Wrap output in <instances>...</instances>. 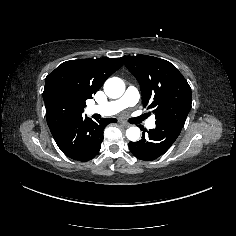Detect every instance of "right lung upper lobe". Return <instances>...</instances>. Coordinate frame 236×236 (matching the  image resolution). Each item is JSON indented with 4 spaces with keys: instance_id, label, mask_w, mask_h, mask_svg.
Wrapping results in <instances>:
<instances>
[{
    "instance_id": "1",
    "label": "right lung upper lobe",
    "mask_w": 236,
    "mask_h": 236,
    "mask_svg": "<svg viewBox=\"0 0 236 236\" xmlns=\"http://www.w3.org/2000/svg\"><path fill=\"white\" fill-rule=\"evenodd\" d=\"M122 64V58L80 59L62 63L45 79V105L55 101L62 108L81 115L86 100L92 98Z\"/></svg>"
}]
</instances>
